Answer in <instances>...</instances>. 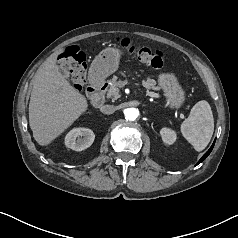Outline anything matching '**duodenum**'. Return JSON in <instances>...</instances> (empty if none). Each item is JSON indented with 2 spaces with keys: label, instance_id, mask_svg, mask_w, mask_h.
Masks as SVG:
<instances>
[{
  "label": "duodenum",
  "instance_id": "duodenum-1",
  "mask_svg": "<svg viewBox=\"0 0 238 238\" xmlns=\"http://www.w3.org/2000/svg\"><path fill=\"white\" fill-rule=\"evenodd\" d=\"M106 88V82L101 77L93 73L90 78V84L87 88V94L94 107H100L103 104V97Z\"/></svg>",
  "mask_w": 238,
  "mask_h": 238
}]
</instances>
